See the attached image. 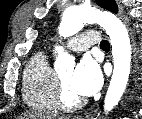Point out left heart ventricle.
<instances>
[{
    "mask_svg": "<svg viewBox=\"0 0 142 119\" xmlns=\"http://www.w3.org/2000/svg\"><path fill=\"white\" fill-rule=\"evenodd\" d=\"M72 76V72H66L62 75H60V79L64 85L65 91H66V96L68 100H74L77 98H80L76 93H74L70 87V79Z\"/></svg>",
    "mask_w": 142,
    "mask_h": 119,
    "instance_id": "b2bd125f",
    "label": "left heart ventricle"
}]
</instances>
